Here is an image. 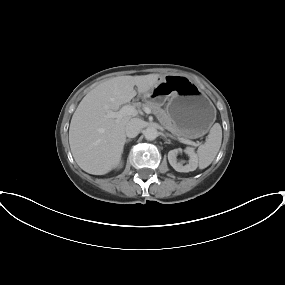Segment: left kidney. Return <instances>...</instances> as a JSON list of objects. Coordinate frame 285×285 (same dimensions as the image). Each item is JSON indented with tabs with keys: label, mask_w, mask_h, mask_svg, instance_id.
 I'll use <instances>...</instances> for the list:
<instances>
[{
	"label": "left kidney",
	"mask_w": 285,
	"mask_h": 285,
	"mask_svg": "<svg viewBox=\"0 0 285 285\" xmlns=\"http://www.w3.org/2000/svg\"><path fill=\"white\" fill-rule=\"evenodd\" d=\"M182 149H174L169 151L168 160L170 165L178 172H190L196 170L198 166L197 155L194 152L193 148H186L184 152L189 156V163L183 165L181 162L177 161V155L182 153Z\"/></svg>",
	"instance_id": "5707ae66"
}]
</instances>
